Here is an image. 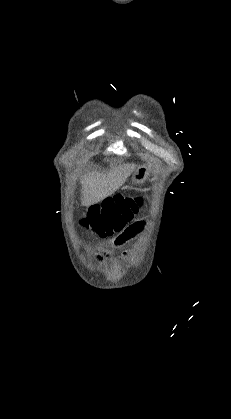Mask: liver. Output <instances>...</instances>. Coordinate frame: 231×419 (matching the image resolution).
I'll use <instances>...</instances> for the list:
<instances>
[{"label":"liver","mask_w":231,"mask_h":419,"mask_svg":"<svg viewBox=\"0 0 231 419\" xmlns=\"http://www.w3.org/2000/svg\"><path fill=\"white\" fill-rule=\"evenodd\" d=\"M136 169L135 164H122L102 172H92L81 181L82 204L90 206L114 194Z\"/></svg>","instance_id":"liver-1"}]
</instances>
